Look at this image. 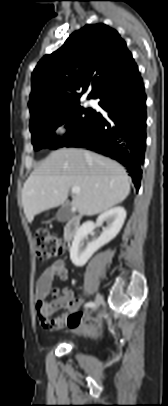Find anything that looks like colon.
I'll list each match as a JSON object with an SVG mask.
<instances>
[{
	"label": "colon",
	"instance_id": "colon-1",
	"mask_svg": "<svg viewBox=\"0 0 168 406\" xmlns=\"http://www.w3.org/2000/svg\"><path fill=\"white\" fill-rule=\"evenodd\" d=\"M33 240L36 247V256L41 261H49L62 255L65 251V245L62 240L47 230L36 231L33 235ZM38 309L42 319L46 323H51L55 320V318L51 317L54 310L52 303L39 302ZM79 319L78 315H71L68 318V324L73 325ZM87 324L92 328L98 327V321L94 318L88 319Z\"/></svg>",
	"mask_w": 168,
	"mask_h": 406
}]
</instances>
